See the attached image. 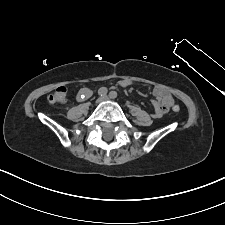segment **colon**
Here are the masks:
<instances>
[{"label":"colon","instance_id":"5ec220e1","mask_svg":"<svg viewBox=\"0 0 225 225\" xmlns=\"http://www.w3.org/2000/svg\"><path fill=\"white\" fill-rule=\"evenodd\" d=\"M50 103L64 104L68 100V89L65 85H61L55 89L48 97ZM181 108L179 105H174L172 111L175 113L180 112Z\"/></svg>","mask_w":225,"mask_h":225}]
</instances>
